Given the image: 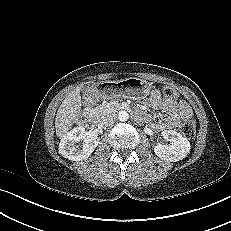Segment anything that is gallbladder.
Wrapping results in <instances>:
<instances>
[{
    "label": "gallbladder",
    "instance_id": "gallbladder-1",
    "mask_svg": "<svg viewBox=\"0 0 231 231\" xmlns=\"http://www.w3.org/2000/svg\"><path fill=\"white\" fill-rule=\"evenodd\" d=\"M96 85L93 82H87L84 84V86L82 87V92L84 95H90L95 93L96 91Z\"/></svg>",
    "mask_w": 231,
    "mask_h": 231
}]
</instances>
